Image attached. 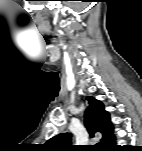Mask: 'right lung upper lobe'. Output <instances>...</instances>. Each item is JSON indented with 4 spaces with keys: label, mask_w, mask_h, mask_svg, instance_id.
<instances>
[{
    "label": "right lung upper lobe",
    "mask_w": 142,
    "mask_h": 151,
    "mask_svg": "<svg viewBox=\"0 0 142 151\" xmlns=\"http://www.w3.org/2000/svg\"><path fill=\"white\" fill-rule=\"evenodd\" d=\"M88 109L85 114V126L91 137L95 133L102 134L101 145L103 148L108 149L115 141L113 135V124L110 121V114L104 109V105L101 101L88 96ZM71 135L69 133H61L51 138L47 142V147L53 150L72 149L73 145H70Z\"/></svg>",
    "instance_id": "1"
}]
</instances>
